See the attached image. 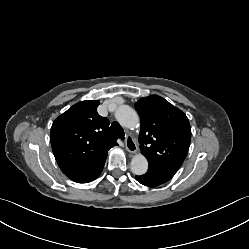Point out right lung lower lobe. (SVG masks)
<instances>
[{"label":"right lung lower lobe","instance_id":"obj_1","mask_svg":"<svg viewBox=\"0 0 249 249\" xmlns=\"http://www.w3.org/2000/svg\"><path fill=\"white\" fill-rule=\"evenodd\" d=\"M102 169H103V168H102ZM101 171H102V170H101ZM101 171H100V173H101ZM100 173H99V174H100ZM99 174H98V175H99ZM97 177H98V176H97ZM97 177H96V178H97Z\"/></svg>","mask_w":249,"mask_h":249}]
</instances>
